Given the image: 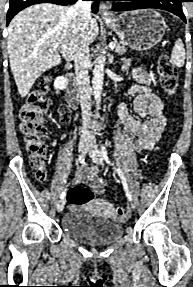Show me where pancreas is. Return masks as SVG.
<instances>
[{"mask_svg": "<svg viewBox=\"0 0 193 287\" xmlns=\"http://www.w3.org/2000/svg\"><path fill=\"white\" fill-rule=\"evenodd\" d=\"M116 47H115V51L118 54H124L127 51V47H128V43L121 40L115 43Z\"/></svg>", "mask_w": 193, "mask_h": 287, "instance_id": "cf45deb5", "label": "pancreas"}]
</instances>
